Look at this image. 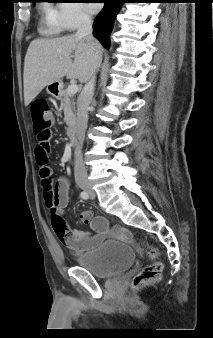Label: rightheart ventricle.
I'll use <instances>...</instances> for the list:
<instances>
[{"label":"right heart ventricle","mask_w":213,"mask_h":338,"mask_svg":"<svg viewBox=\"0 0 213 338\" xmlns=\"http://www.w3.org/2000/svg\"><path fill=\"white\" fill-rule=\"evenodd\" d=\"M45 9L47 32L51 35H55L64 31L65 28L56 19V11L49 6L45 7Z\"/></svg>","instance_id":"obj_1"}]
</instances>
